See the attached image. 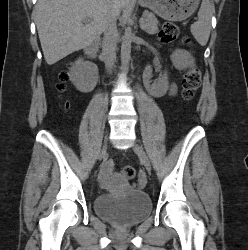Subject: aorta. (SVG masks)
<instances>
[{"label":"aorta","mask_w":248,"mask_h":250,"mask_svg":"<svg viewBox=\"0 0 248 250\" xmlns=\"http://www.w3.org/2000/svg\"><path fill=\"white\" fill-rule=\"evenodd\" d=\"M131 39H132V29L130 26H128L125 28L121 44V64L123 70L125 71L128 69L131 57Z\"/></svg>","instance_id":"1"}]
</instances>
